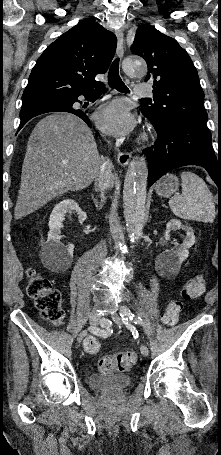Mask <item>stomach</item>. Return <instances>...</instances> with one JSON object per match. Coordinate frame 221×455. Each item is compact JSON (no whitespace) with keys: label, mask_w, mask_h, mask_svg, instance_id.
Here are the masks:
<instances>
[{"label":"stomach","mask_w":221,"mask_h":455,"mask_svg":"<svg viewBox=\"0 0 221 455\" xmlns=\"http://www.w3.org/2000/svg\"><path fill=\"white\" fill-rule=\"evenodd\" d=\"M178 187V178L173 174H167L156 183L155 191L159 196L168 198L178 190Z\"/></svg>","instance_id":"0dacf381"}]
</instances>
